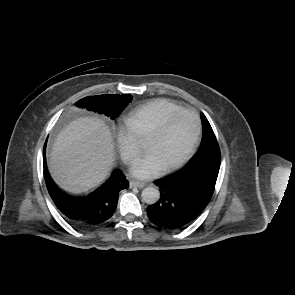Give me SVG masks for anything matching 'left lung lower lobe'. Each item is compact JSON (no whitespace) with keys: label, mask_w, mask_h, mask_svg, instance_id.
<instances>
[{"label":"left lung lower lobe","mask_w":295,"mask_h":295,"mask_svg":"<svg viewBox=\"0 0 295 295\" xmlns=\"http://www.w3.org/2000/svg\"><path fill=\"white\" fill-rule=\"evenodd\" d=\"M221 158L205 157L155 183L160 199L147 208L157 226L177 230L187 226L208 205L216 184Z\"/></svg>","instance_id":"0a47b994"}]
</instances>
